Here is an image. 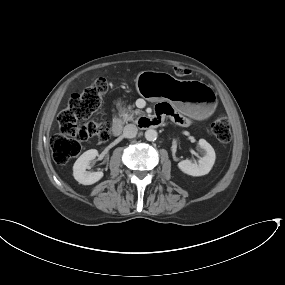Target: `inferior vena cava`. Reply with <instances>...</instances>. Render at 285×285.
I'll return each mask as SVG.
<instances>
[{"label": "inferior vena cava", "mask_w": 285, "mask_h": 285, "mask_svg": "<svg viewBox=\"0 0 285 285\" xmlns=\"http://www.w3.org/2000/svg\"><path fill=\"white\" fill-rule=\"evenodd\" d=\"M138 128L134 124H127L124 127L123 134L126 138H134L137 135Z\"/></svg>", "instance_id": "602c4592"}]
</instances>
